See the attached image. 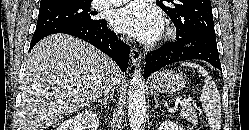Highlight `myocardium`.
Instances as JSON below:
<instances>
[{
    "instance_id": "f54148a6",
    "label": "myocardium",
    "mask_w": 249,
    "mask_h": 130,
    "mask_svg": "<svg viewBox=\"0 0 249 130\" xmlns=\"http://www.w3.org/2000/svg\"><path fill=\"white\" fill-rule=\"evenodd\" d=\"M175 31L172 27H167L164 31L163 37L164 38H170L174 35Z\"/></svg>"
}]
</instances>
